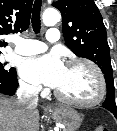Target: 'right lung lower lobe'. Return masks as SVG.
Instances as JSON below:
<instances>
[{
    "label": "right lung lower lobe",
    "instance_id": "98d812e1",
    "mask_svg": "<svg viewBox=\"0 0 117 131\" xmlns=\"http://www.w3.org/2000/svg\"><path fill=\"white\" fill-rule=\"evenodd\" d=\"M17 87H18L17 78H16V82L13 84L0 82V93L12 96L15 94Z\"/></svg>",
    "mask_w": 117,
    "mask_h": 131
}]
</instances>
